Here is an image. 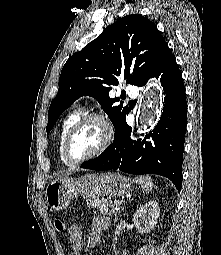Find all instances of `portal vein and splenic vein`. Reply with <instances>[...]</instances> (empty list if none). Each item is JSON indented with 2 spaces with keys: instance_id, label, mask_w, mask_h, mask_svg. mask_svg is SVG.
<instances>
[{
  "instance_id": "1",
  "label": "portal vein and splenic vein",
  "mask_w": 221,
  "mask_h": 255,
  "mask_svg": "<svg viewBox=\"0 0 221 255\" xmlns=\"http://www.w3.org/2000/svg\"><path fill=\"white\" fill-rule=\"evenodd\" d=\"M118 206H116L115 208H114V210H118V208H117Z\"/></svg>"
}]
</instances>
